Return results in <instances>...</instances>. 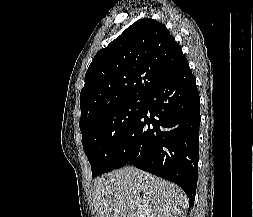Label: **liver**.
I'll return each mask as SVG.
<instances>
[{
	"label": "liver",
	"instance_id": "1",
	"mask_svg": "<svg viewBox=\"0 0 253 217\" xmlns=\"http://www.w3.org/2000/svg\"><path fill=\"white\" fill-rule=\"evenodd\" d=\"M92 204L95 217H186L188 198L175 184L125 166L94 180Z\"/></svg>",
	"mask_w": 253,
	"mask_h": 217
}]
</instances>
